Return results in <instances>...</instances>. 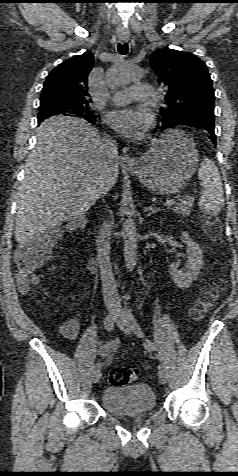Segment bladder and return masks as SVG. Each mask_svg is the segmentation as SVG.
Masks as SVG:
<instances>
[{"label": "bladder", "instance_id": "bladder-1", "mask_svg": "<svg viewBox=\"0 0 238 476\" xmlns=\"http://www.w3.org/2000/svg\"><path fill=\"white\" fill-rule=\"evenodd\" d=\"M102 408L115 416L149 413L156 408L157 399L147 384L113 385L101 395Z\"/></svg>", "mask_w": 238, "mask_h": 476}]
</instances>
